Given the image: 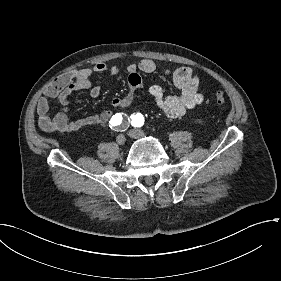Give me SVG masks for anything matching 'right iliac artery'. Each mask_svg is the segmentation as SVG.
Here are the masks:
<instances>
[{
  "label": "right iliac artery",
  "mask_w": 281,
  "mask_h": 281,
  "mask_svg": "<svg viewBox=\"0 0 281 281\" xmlns=\"http://www.w3.org/2000/svg\"><path fill=\"white\" fill-rule=\"evenodd\" d=\"M130 119L126 114L123 113H117L113 115V117L110 120V127L117 131V132H123L126 131L129 127Z\"/></svg>",
  "instance_id": "82829eb1"
}]
</instances>
